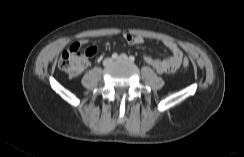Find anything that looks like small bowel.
I'll return each mask as SVG.
<instances>
[{
    "label": "small bowel",
    "instance_id": "1",
    "mask_svg": "<svg viewBox=\"0 0 244 157\" xmlns=\"http://www.w3.org/2000/svg\"><path fill=\"white\" fill-rule=\"evenodd\" d=\"M124 39L130 45H139L144 42L143 37L139 35L125 34ZM85 42L86 40L82 41V43ZM162 45L171 52L172 55L169 58L154 59L149 56H144V60L150 64L159 74H173L180 68L182 64L183 52L171 39H163Z\"/></svg>",
    "mask_w": 244,
    "mask_h": 157
}]
</instances>
